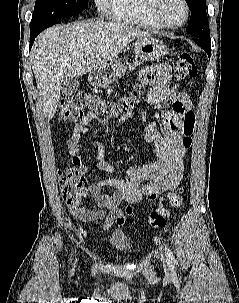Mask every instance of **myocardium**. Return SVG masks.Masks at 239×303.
<instances>
[{
  "label": "myocardium",
  "instance_id": "f54148a6",
  "mask_svg": "<svg viewBox=\"0 0 239 303\" xmlns=\"http://www.w3.org/2000/svg\"><path fill=\"white\" fill-rule=\"evenodd\" d=\"M183 5H184V10H185V16L184 19L182 20V22L178 23V24H169L167 22H165L159 13V7H160V3L161 0H148V4H147V10L148 13L152 19V21L157 24L159 27L161 28H166V29H178L182 26H184L190 16V6L187 0H181Z\"/></svg>",
  "mask_w": 239,
  "mask_h": 303
}]
</instances>
